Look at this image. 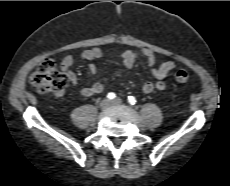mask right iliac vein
Here are the masks:
<instances>
[{"instance_id":"63e3f726","label":"right iliac vein","mask_w":230,"mask_h":186,"mask_svg":"<svg viewBox=\"0 0 230 186\" xmlns=\"http://www.w3.org/2000/svg\"><path fill=\"white\" fill-rule=\"evenodd\" d=\"M111 106V101L109 99H103L101 102H100V108L101 109H107L108 107Z\"/></svg>"}]
</instances>
